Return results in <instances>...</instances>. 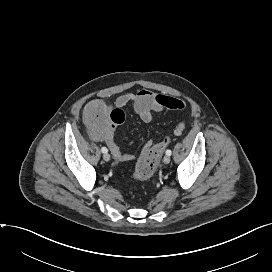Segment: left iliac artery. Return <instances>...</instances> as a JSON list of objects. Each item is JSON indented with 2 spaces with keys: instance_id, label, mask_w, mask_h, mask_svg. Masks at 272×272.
Returning a JSON list of instances; mask_svg holds the SVG:
<instances>
[{
  "instance_id": "1",
  "label": "left iliac artery",
  "mask_w": 272,
  "mask_h": 272,
  "mask_svg": "<svg viewBox=\"0 0 272 272\" xmlns=\"http://www.w3.org/2000/svg\"><path fill=\"white\" fill-rule=\"evenodd\" d=\"M172 154V151L171 150H167L166 151V155L170 156Z\"/></svg>"
}]
</instances>
